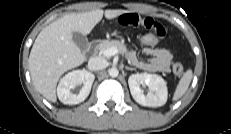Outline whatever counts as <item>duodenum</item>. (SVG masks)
Returning <instances> with one entry per match:
<instances>
[{
    "label": "duodenum",
    "mask_w": 231,
    "mask_h": 134,
    "mask_svg": "<svg viewBox=\"0 0 231 134\" xmlns=\"http://www.w3.org/2000/svg\"><path fill=\"white\" fill-rule=\"evenodd\" d=\"M99 43H100V40H94L91 45L92 48H96L99 45Z\"/></svg>",
    "instance_id": "410a0bca"
}]
</instances>
